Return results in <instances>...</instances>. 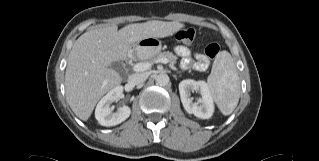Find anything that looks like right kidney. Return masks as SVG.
<instances>
[{"mask_svg": "<svg viewBox=\"0 0 319 161\" xmlns=\"http://www.w3.org/2000/svg\"><path fill=\"white\" fill-rule=\"evenodd\" d=\"M123 87L116 86L110 90L97 104L95 109V118L102 126H115L125 121L131 114L128 106H122L113 112L111 104L122 97Z\"/></svg>", "mask_w": 319, "mask_h": 161, "instance_id": "right-kidney-1", "label": "right kidney"}]
</instances>
